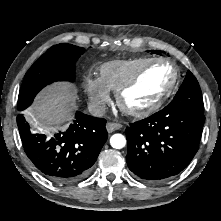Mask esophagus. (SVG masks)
<instances>
[{"mask_svg": "<svg viewBox=\"0 0 221 221\" xmlns=\"http://www.w3.org/2000/svg\"><path fill=\"white\" fill-rule=\"evenodd\" d=\"M122 128V125L121 124H118V123H107L106 125V129L109 133H112L113 131H116V130H119Z\"/></svg>", "mask_w": 221, "mask_h": 221, "instance_id": "1", "label": "esophagus"}]
</instances>
